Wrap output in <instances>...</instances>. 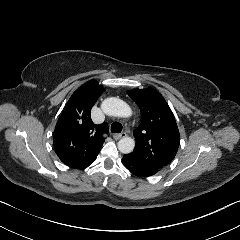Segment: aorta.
<instances>
[{"instance_id":"762f6f07","label":"aorta","mask_w":240,"mask_h":240,"mask_svg":"<svg viewBox=\"0 0 240 240\" xmlns=\"http://www.w3.org/2000/svg\"><path fill=\"white\" fill-rule=\"evenodd\" d=\"M102 110L106 115L120 117V118H130L133 115V110L129 104L125 101L110 97L106 98L102 102ZM136 141L130 136H124L118 142V149L122 153H130L135 148Z\"/></svg>"}]
</instances>
